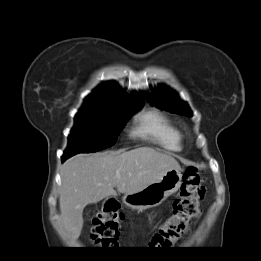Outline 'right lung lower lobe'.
I'll list each match as a JSON object with an SVG mask.
<instances>
[{"instance_id":"obj_1","label":"right lung lower lobe","mask_w":261,"mask_h":261,"mask_svg":"<svg viewBox=\"0 0 261 261\" xmlns=\"http://www.w3.org/2000/svg\"><path fill=\"white\" fill-rule=\"evenodd\" d=\"M69 157H71L70 155H64L62 156L61 160L62 162H64L66 159H68Z\"/></svg>"}]
</instances>
